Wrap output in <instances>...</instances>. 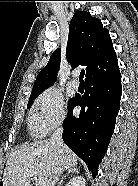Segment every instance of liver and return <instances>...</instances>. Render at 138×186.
I'll use <instances>...</instances> for the list:
<instances>
[{
    "label": "liver",
    "instance_id": "liver-1",
    "mask_svg": "<svg viewBox=\"0 0 138 186\" xmlns=\"http://www.w3.org/2000/svg\"><path fill=\"white\" fill-rule=\"evenodd\" d=\"M78 157L69 147L63 145L58 154L49 140L36 141L13 150L6 163L3 174V186H32L30 181L22 179L32 171L45 186H50L54 172L75 167Z\"/></svg>",
    "mask_w": 138,
    "mask_h": 186
}]
</instances>
